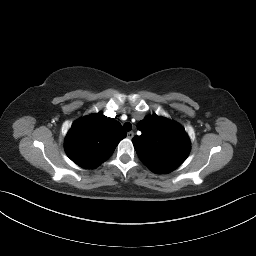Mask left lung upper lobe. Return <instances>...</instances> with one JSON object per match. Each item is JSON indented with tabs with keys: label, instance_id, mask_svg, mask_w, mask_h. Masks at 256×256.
I'll use <instances>...</instances> for the list:
<instances>
[{
	"label": "left lung upper lobe",
	"instance_id": "1",
	"mask_svg": "<svg viewBox=\"0 0 256 256\" xmlns=\"http://www.w3.org/2000/svg\"><path fill=\"white\" fill-rule=\"evenodd\" d=\"M137 128L142 134L132 139L133 145L152 172L169 173L186 160L190 140L181 125L153 115L138 122Z\"/></svg>",
	"mask_w": 256,
	"mask_h": 256
}]
</instances>
